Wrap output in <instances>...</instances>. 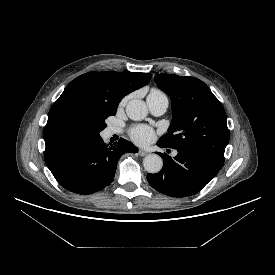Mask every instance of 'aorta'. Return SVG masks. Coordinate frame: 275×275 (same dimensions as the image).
Wrapping results in <instances>:
<instances>
[{"label": "aorta", "mask_w": 275, "mask_h": 275, "mask_svg": "<svg viewBox=\"0 0 275 275\" xmlns=\"http://www.w3.org/2000/svg\"><path fill=\"white\" fill-rule=\"evenodd\" d=\"M128 117L134 121L143 120L148 114V108L144 101L133 99L126 106ZM143 166L148 173H158L163 167V160L157 154H149L143 160Z\"/></svg>", "instance_id": "aorta-1"}]
</instances>
